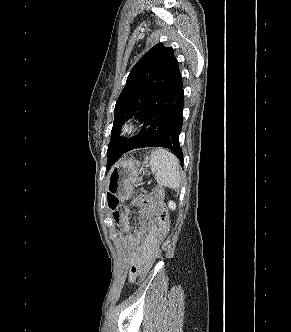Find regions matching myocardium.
<instances>
[{"label": "myocardium", "mask_w": 291, "mask_h": 332, "mask_svg": "<svg viewBox=\"0 0 291 332\" xmlns=\"http://www.w3.org/2000/svg\"><path fill=\"white\" fill-rule=\"evenodd\" d=\"M137 131V124L135 121H127L125 122L120 130V135L122 137H131Z\"/></svg>", "instance_id": "1"}]
</instances>
